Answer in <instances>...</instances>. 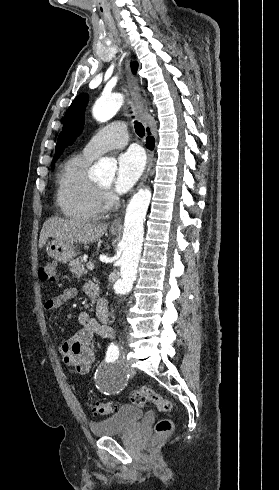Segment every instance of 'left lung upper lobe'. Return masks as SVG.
<instances>
[{
  "label": "left lung upper lobe",
  "instance_id": "obj_1",
  "mask_svg": "<svg viewBox=\"0 0 279 490\" xmlns=\"http://www.w3.org/2000/svg\"><path fill=\"white\" fill-rule=\"evenodd\" d=\"M133 73L137 71V63L131 64ZM87 94H80L72 102L64 116L63 131L60 133L56 145V158L61 154L65 146L70 145L81 133L84 124V110L87 103Z\"/></svg>",
  "mask_w": 279,
  "mask_h": 490
}]
</instances>
